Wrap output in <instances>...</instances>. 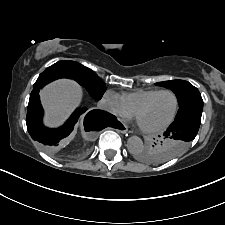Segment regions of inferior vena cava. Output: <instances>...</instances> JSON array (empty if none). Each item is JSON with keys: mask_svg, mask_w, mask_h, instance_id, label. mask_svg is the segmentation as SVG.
Wrapping results in <instances>:
<instances>
[{"mask_svg": "<svg viewBox=\"0 0 225 225\" xmlns=\"http://www.w3.org/2000/svg\"><path fill=\"white\" fill-rule=\"evenodd\" d=\"M98 107L102 110H106V111H111L112 110V107L111 105L106 102L105 100H101L99 103H98Z\"/></svg>", "mask_w": 225, "mask_h": 225, "instance_id": "obj_1", "label": "inferior vena cava"}]
</instances>
